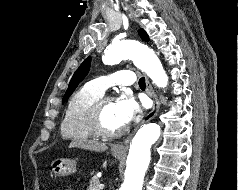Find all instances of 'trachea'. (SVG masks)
I'll return each mask as SVG.
<instances>
[{
	"label": "trachea",
	"mask_w": 238,
	"mask_h": 190,
	"mask_svg": "<svg viewBox=\"0 0 238 190\" xmlns=\"http://www.w3.org/2000/svg\"><path fill=\"white\" fill-rule=\"evenodd\" d=\"M139 86H140L141 88H145V78H144V77L140 78V80H139Z\"/></svg>",
	"instance_id": "3493384b"
}]
</instances>
